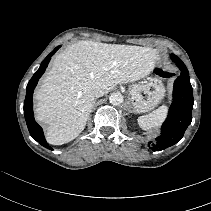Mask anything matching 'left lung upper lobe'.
Wrapping results in <instances>:
<instances>
[{
    "label": "left lung upper lobe",
    "instance_id": "obj_1",
    "mask_svg": "<svg viewBox=\"0 0 211 211\" xmlns=\"http://www.w3.org/2000/svg\"><path fill=\"white\" fill-rule=\"evenodd\" d=\"M171 58L172 60L177 64H184L177 56H175L174 54H171Z\"/></svg>",
    "mask_w": 211,
    "mask_h": 211
}]
</instances>
